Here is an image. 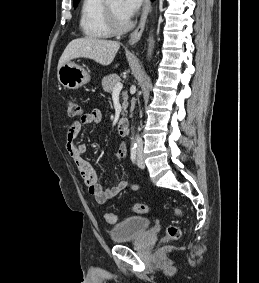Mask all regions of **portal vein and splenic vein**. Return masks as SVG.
<instances>
[{"instance_id": "18ae733b", "label": "portal vein and splenic vein", "mask_w": 259, "mask_h": 283, "mask_svg": "<svg viewBox=\"0 0 259 283\" xmlns=\"http://www.w3.org/2000/svg\"><path fill=\"white\" fill-rule=\"evenodd\" d=\"M122 88H123V85H122V83H117L115 86H114V89H113V93L115 94V93H119L121 90H122Z\"/></svg>"}]
</instances>
